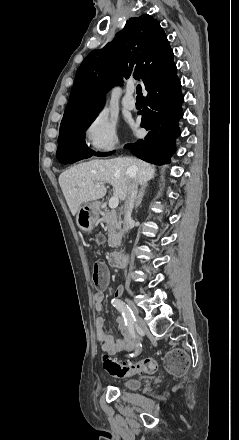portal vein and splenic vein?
I'll use <instances>...</instances> for the list:
<instances>
[{"label":"portal vein and splenic vein","instance_id":"portal-vein-and-splenic-vein-1","mask_svg":"<svg viewBox=\"0 0 239 440\" xmlns=\"http://www.w3.org/2000/svg\"><path fill=\"white\" fill-rule=\"evenodd\" d=\"M97 188H100L99 184H96ZM119 204V200L118 198H116V196H114V198H111L110 202H109V208H111V210H114V208H117Z\"/></svg>","mask_w":239,"mask_h":440}]
</instances>
